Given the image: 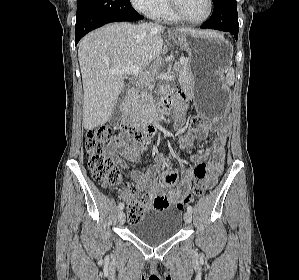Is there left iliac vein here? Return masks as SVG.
Returning <instances> with one entry per match:
<instances>
[{"label": "left iliac vein", "instance_id": "left-iliac-vein-1", "mask_svg": "<svg viewBox=\"0 0 299 280\" xmlns=\"http://www.w3.org/2000/svg\"><path fill=\"white\" fill-rule=\"evenodd\" d=\"M184 220L186 223H191L192 221V213L187 211L185 214H184Z\"/></svg>", "mask_w": 299, "mask_h": 280}]
</instances>
